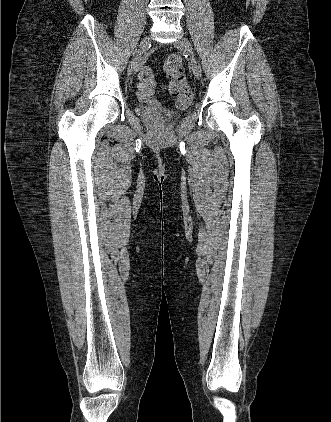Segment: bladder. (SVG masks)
Returning a JSON list of instances; mask_svg holds the SVG:
<instances>
[{
    "label": "bladder",
    "instance_id": "1",
    "mask_svg": "<svg viewBox=\"0 0 331 422\" xmlns=\"http://www.w3.org/2000/svg\"><path fill=\"white\" fill-rule=\"evenodd\" d=\"M185 108H181L180 110H185ZM137 113L146 122L154 126L164 125L176 120V115L173 112L155 102H150L147 106L138 107Z\"/></svg>",
    "mask_w": 331,
    "mask_h": 422
}]
</instances>
